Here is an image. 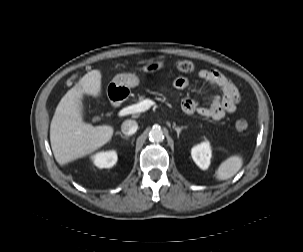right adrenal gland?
I'll use <instances>...</instances> for the list:
<instances>
[{
	"instance_id": "1",
	"label": "right adrenal gland",
	"mask_w": 303,
	"mask_h": 252,
	"mask_svg": "<svg viewBox=\"0 0 303 252\" xmlns=\"http://www.w3.org/2000/svg\"><path fill=\"white\" fill-rule=\"evenodd\" d=\"M116 134H117V135H120L123 139H128V137H127V136H124L121 132H117Z\"/></svg>"
}]
</instances>
